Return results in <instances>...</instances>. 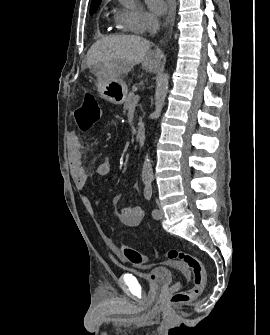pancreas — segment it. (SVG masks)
Segmentation results:
<instances>
[{
  "mask_svg": "<svg viewBox=\"0 0 270 335\" xmlns=\"http://www.w3.org/2000/svg\"><path fill=\"white\" fill-rule=\"evenodd\" d=\"M134 98H135L134 94H128V96L126 98V102L124 104V110H128V108H130V106H132V104H134V102H133Z\"/></svg>",
  "mask_w": 270,
  "mask_h": 335,
  "instance_id": "pancreas-1",
  "label": "pancreas"
}]
</instances>
